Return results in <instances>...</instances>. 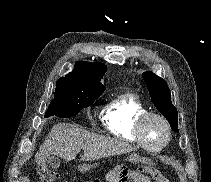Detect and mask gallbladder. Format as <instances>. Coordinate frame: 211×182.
Here are the masks:
<instances>
[{"instance_id":"bac80fb5","label":"gallbladder","mask_w":211,"mask_h":182,"mask_svg":"<svg viewBox=\"0 0 211 182\" xmlns=\"http://www.w3.org/2000/svg\"><path fill=\"white\" fill-rule=\"evenodd\" d=\"M47 164L49 165V167L51 168H58L60 165V159L57 156H49L47 158Z\"/></svg>"}]
</instances>
